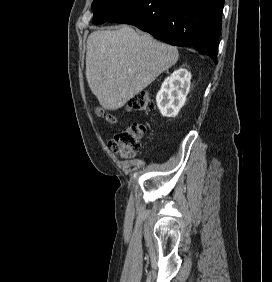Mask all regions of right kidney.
I'll use <instances>...</instances> for the list:
<instances>
[{
  "instance_id": "right-kidney-1",
  "label": "right kidney",
  "mask_w": 272,
  "mask_h": 282,
  "mask_svg": "<svg viewBox=\"0 0 272 282\" xmlns=\"http://www.w3.org/2000/svg\"><path fill=\"white\" fill-rule=\"evenodd\" d=\"M191 73L184 68L175 70L167 77L156 95L160 113L165 117H176L186 102L190 90Z\"/></svg>"
}]
</instances>
